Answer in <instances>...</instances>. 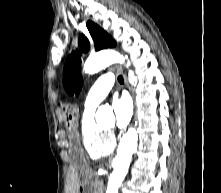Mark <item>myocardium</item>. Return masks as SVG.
<instances>
[{"mask_svg": "<svg viewBox=\"0 0 221 193\" xmlns=\"http://www.w3.org/2000/svg\"><path fill=\"white\" fill-rule=\"evenodd\" d=\"M104 128H105L106 130L111 129V127H110V126H104Z\"/></svg>", "mask_w": 221, "mask_h": 193, "instance_id": "obj_1", "label": "myocardium"}]
</instances>
